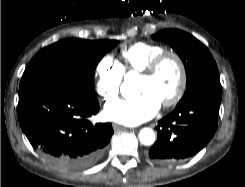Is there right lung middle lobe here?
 <instances>
[{"mask_svg": "<svg viewBox=\"0 0 245 187\" xmlns=\"http://www.w3.org/2000/svg\"><path fill=\"white\" fill-rule=\"evenodd\" d=\"M117 41L65 39L39 51L21 78L19 92L41 84H56L96 97L95 68Z\"/></svg>", "mask_w": 245, "mask_h": 187, "instance_id": "1", "label": "right lung middle lobe"}]
</instances>
